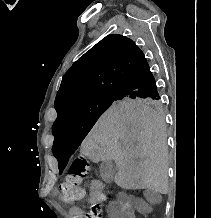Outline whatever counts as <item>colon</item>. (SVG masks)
<instances>
[{"mask_svg": "<svg viewBox=\"0 0 211 218\" xmlns=\"http://www.w3.org/2000/svg\"><path fill=\"white\" fill-rule=\"evenodd\" d=\"M90 173L89 162L84 157H79L72 163L68 175L59 187L60 198L65 203H72L84 197V180ZM85 218H102V209L99 204H94Z\"/></svg>", "mask_w": 211, "mask_h": 218, "instance_id": "obj_1", "label": "colon"}]
</instances>
